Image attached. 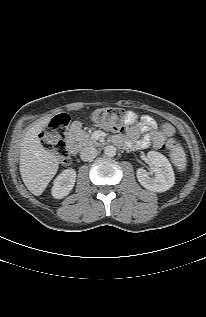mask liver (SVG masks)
<instances>
[{"label":"liver","instance_id":"6515ba94","mask_svg":"<svg viewBox=\"0 0 206 317\" xmlns=\"http://www.w3.org/2000/svg\"><path fill=\"white\" fill-rule=\"evenodd\" d=\"M51 117L44 118L25 134L20 149V174L27 189L35 196L43 193L58 171V159L40 142L39 133L49 124Z\"/></svg>","mask_w":206,"mask_h":317}]
</instances>
